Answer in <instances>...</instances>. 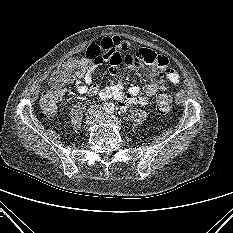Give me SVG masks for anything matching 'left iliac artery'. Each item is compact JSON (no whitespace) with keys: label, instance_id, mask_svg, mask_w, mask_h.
Returning a JSON list of instances; mask_svg holds the SVG:
<instances>
[{"label":"left iliac artery","instance_id":"44dca946","mask_svg":"<svg viewBox=\"0 0 233 233\" xmlns=\"http://www.w3.org/2000/svg\"><path fill=\"white\" fill-rule=\"evenodd\" d=\"M113 111H114V108L112 107V108L107 112V114H108V115H111V114L113 113Z\"/></svg>","mask_w":233,"mask_h":233}]
</instances>
